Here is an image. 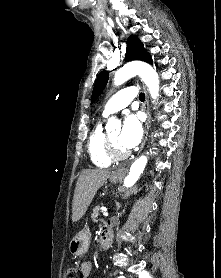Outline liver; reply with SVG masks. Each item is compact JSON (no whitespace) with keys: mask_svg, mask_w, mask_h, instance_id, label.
Returning a JSON list of instances; mask_svg holds the SVG:
<instances>
[{"mask_svg":"<svg viewBox=\"0 0 221 278\" xmlns=\"http://www.w3.org/2000/svg\"><path fill=\"white\" fill-rule=\"evenodd\" d=\"M106 170H83L80 174L73 196L72 221H79L87 211L98 189L110 177Z\"/></svg>","mask_w":221,"mask_h":278,"instance_id":"1","label":"liver"}]
</instances>
